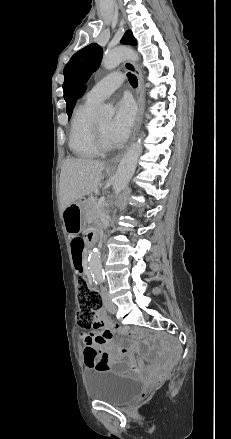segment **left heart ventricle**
Masks as SVG:
<instances>
[{
  "mask_svg": "<svg viewBox=\"0 0 231 439\" xmlns=\"http://www.w3.org/2000/svg\"><path fill=\"white\" fill-rule=\"evenodd\" d=\"M97 122L101 128V131H102L106 141L110 144H113V142L111 141L110 136H109L111 118H102V119L97 120Z\"/></svg>",
  "mask_w": 231,
  "mask_h": 439,
  "instance_id": "left-heart-ventricle-1",
  "label": "left heart ventricle"
}]
</instances>
